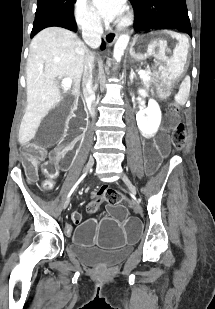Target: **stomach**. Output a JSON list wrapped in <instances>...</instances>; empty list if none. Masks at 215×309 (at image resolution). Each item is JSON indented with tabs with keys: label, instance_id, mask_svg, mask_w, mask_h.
Listing matches in <instances>:
<instances>
[{
	"label": "stomach",
	"instance_id": "obj_1",
	"mask_svg": "<svg viewBox=\"0 0 215 309\" xmlns=\"http://www.w3.org/2000/svg\"><path fill=\"white\" fill-rule=\"evenodd\" d=\"M189 39L185 34L162 29L139 33L130 44L134 62L154 58L152 80L162 90H168L187 68Z\"/></svg>",
	"mask_w": 215,
	"mask_h": 309
}]
</instances>
